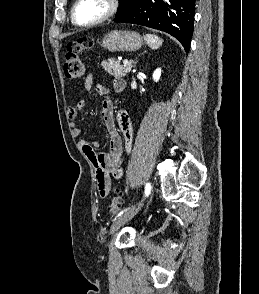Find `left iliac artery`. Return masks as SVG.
<instances>
[{"label":"left iliac artery","mask_w":259,"mask_h":294,"mask_svg":"<svg viewBox=\"0 0 259 294\" xmlns=\"http://www.w3.org/2000/svg\"><path fill=\"white\" fill-rule=\"evenodd\" d=\"M151 192V185L150 183H146L145 185V196H148ZM128 208L124 209L123 211H121L118 216H121L125 211H127Z\"/></svg>","instance_id":"obj_1"}]
</instances>
